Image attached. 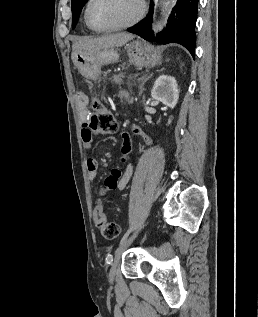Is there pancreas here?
<instances>
[{"label":"pancreas","mask_w":258,"mask_h":317,"mask_svg":"<svg viewBox=\"0 0 258 317\" xmlns=\"http://www.w3.org/2000/svg\"><path fill=\"white\" fill-rule=\"evenodd\" d=\"M124 78L123 77H118V78H115V83H118V84H123L124 83ZM118 94L120 95V96H125L126 94H127V91L125 90V89H120L119 91H118Z\"/></svg>","instance_id":"obj_1"}]
</instances>
